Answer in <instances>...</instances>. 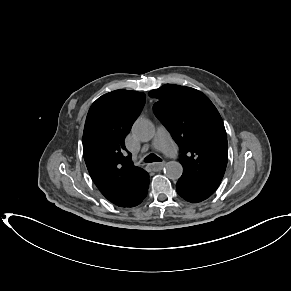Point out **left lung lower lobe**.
Instances as JSON below:
<instances>
[{
    "label": "left lung lower lobe",
    "mask_w": 291,
    "mask_h": 291,
    "mask_svg": "<svg viewBox=\"0 0 291 291\" xmlns=\"http://www.w3.org/2000/svg\"><path fill=\"white\" fill-rule=\"evenodd\" d=\"M176 190L183 199L191 203L201 202L214 193L202 189L181 177L176 184Z\"/></svg>",
    "instance_id": "obj_1"
}]
</instances>
